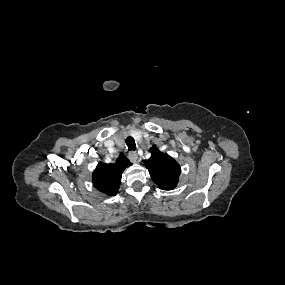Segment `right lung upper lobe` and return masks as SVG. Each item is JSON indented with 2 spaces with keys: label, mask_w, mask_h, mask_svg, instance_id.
Wrapping results in <instances>:
<instances>
[{
  "label": "right lung upper lobe",
  "mask_w": 285,
  "mask_h": 285,
  "mask_svg": "<svg viewBox=\"0 0 285 285\" xmlns=\"http://www.w3.org/2000/svg\"><path fill=\"white\" fill-rule=\"evenodd\" d=\"M130 165L131 162L122 154L114 164L99 162L92 176L94 187L108 196L116 195L122 172Z\"/></svg>",
  "instance_id": "right-lung-upper-lobe-1"
}]
</instances>
